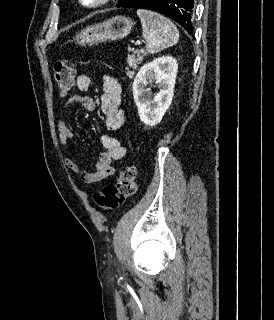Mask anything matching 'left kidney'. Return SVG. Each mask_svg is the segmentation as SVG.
Here are the masks:
<instances>
[{
  "label": "left kidney",
  "instance_id": "1",
  "mask_svg": "<svg viewBox=\"0 0 274 320\" xmlns=\"http://www.w3.org/2000/svg\"><path fill=\"white\" fill-rule=\"evenodd\" d=\"M178 64L172 56L156 58L140 68L133 82L134 102L138 108L141 122L146 126L160 124L166 110H168L175 88ZM158 84V94H151L146 90L148 84Z\"/></svg>",
  "mask_w": 274,
  "mask_h": 320
}]
</instances>
